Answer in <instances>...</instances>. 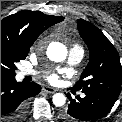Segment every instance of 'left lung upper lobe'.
Listing matches in <instances>:
<instances>
[{"label":"left lung upper lobe","instance_id":"obj_1","mask_svg":"<svg viewBox=\"0 0 122 122\" xmlns=\"http://www.w3.org/2000/svg\"><path fill=\"white\" fill-rule=\"evenodd\" d=\"M79 34L90 52V59L80 81L71 89L82 92H98L118 98L122 83V66L113 44L94 25L79 19Z\"/></svg>","mask_w":122,"mask_h":122}]
</instances>
